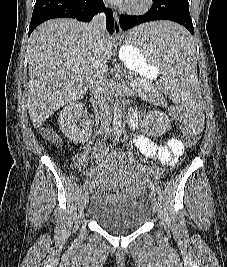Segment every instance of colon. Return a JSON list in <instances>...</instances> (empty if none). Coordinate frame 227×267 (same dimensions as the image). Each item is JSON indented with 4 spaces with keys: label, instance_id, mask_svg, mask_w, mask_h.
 Wrapping results in <instances>:
<instances>
[{
    "label": "colon",
    "instance_id": "obj_1",
    "mask_svg": "<svg viewBox=\"0 0 227 267\" xmlns=\"http://www.w3.org/2000/svg\"><path fill=\"white\" fill-rule=\"evenodd\" d=\"M177 104H166V112L169 113L175 125H182L183 121L181 120V115L177 111ZM184 130H182V135L184 136V143L188 152H195V147H198L199 139H195V136L191 134V130L186 129V125L183 124ZM43 137L49 141H54L56 136L53 132L45 130L43 132Z\"/></svg>",
    "mask_w": 227,
    "mask_h": 267
}]
</instances>
